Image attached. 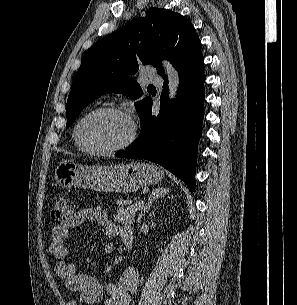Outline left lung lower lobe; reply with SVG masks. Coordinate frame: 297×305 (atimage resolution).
<instances>
[{"label":"left lung lower lobe","instance_id":"obj_1","mask_svg":"<svg viewBox=\"0 0 297 305\" xmlns=\"http://www.w3.org/2000/svg\"><path fill=\"white\" fill-rule=\"evenodd\" d=\"M180 87L174 102L168 95L164 77L160 111L152 115V100L141 112L142 129L138 138L117 157L146 159L180 178L190 191L195 188L198 142L204 117V69L183 66L178 70Z\"/></svg>","mask_w":297,"mask_h":305}]
</instances>
